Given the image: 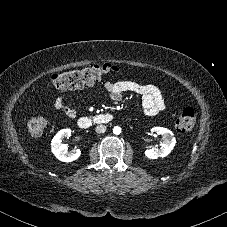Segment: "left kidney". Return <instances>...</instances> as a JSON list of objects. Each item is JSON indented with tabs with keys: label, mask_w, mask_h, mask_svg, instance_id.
<instances>
[{
	"label": "left kidney",
	"mask_w": 227,
	"mask_h": 227,
	"mask_svg": "<svg viewBox=\"0 0 227 227\" xmlns=\"http://www.w3.org/2000/svg\"><path fill=\"white\" fill-rule=\"evenodd\" d=\"M151 131L158 135H162L163 142L161 143V147L159 149H147L145 151V156L149 159L166 157L176 144V139L173 136V132L164 127H153Z\"/></svg>",
	"instance_id": "left-kidney-1"
}]
</instances>
